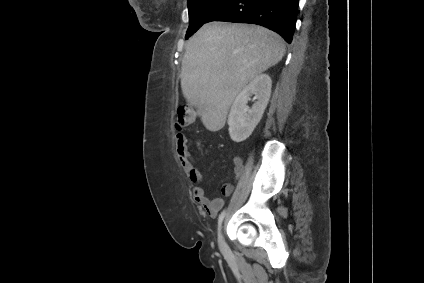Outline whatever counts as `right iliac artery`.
<instances>
[{"mask_svg":"<svg viewBox=\"0 0 424 283\" xmlns=\"http://www.w3.org/2000/svg\"><path fill=\"white\" fill-rule=\"evenodd\" d=\"M224 216H225V210L223 212H221V214L219 215V218H218V229L221 227V224H222V221L224 219Z\"/></svg>","mask_w":424,"mask_h":283,"instance_id":"1","label":"right iliac artery"}]
</instances>
